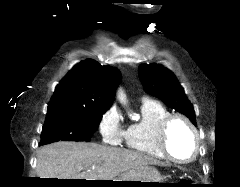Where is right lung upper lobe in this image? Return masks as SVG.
Masks as SVG:
<instances>
[{"label":"right lung upper lobe","mask_w":240,"mask_h":187,"mask_svg":"<svg viewBox=\"0 0 240 187\" xmlns=\"http://www.w3.org/2000/svg\"><path fill=\"white\" fill-rule=\"evenodd\" d=\"M120 81L117 68L87 59L75 65L59 82L48 108L61 105L108 109Z\"/></svg>","instance_id":"right-lung-upper-lobe-1"}]
</instances>
